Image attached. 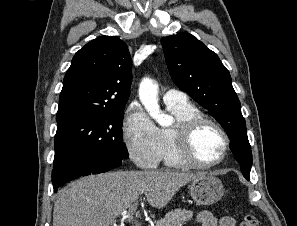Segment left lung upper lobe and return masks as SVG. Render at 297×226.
<instances>
[{"instance_id": "1", "label": "left lung upper lobe", "mask_w": 297, "mask_h": 226, "mask_svg": "<svg viewBox=\"0 0 297 226\" xmlns=\"http://www.w3.org/2000/svg\"><path fill=\"white\" fill-rule=\"evenodd\" d=\"M161 43L173 82L221 124L241 172L249 178L251 146L229 71L213 51L189 33L164 37Z\"/></svg>"}]
</instances>
